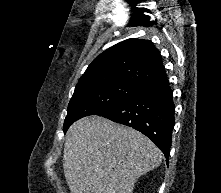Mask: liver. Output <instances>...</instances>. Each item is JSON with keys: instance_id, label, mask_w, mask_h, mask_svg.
<instances>
[{"instance_id": "1", "label": "liver", "mask_w": 221, "mask_h": 193, "mask_svg": "<svg viewBox=\"0 0 221 193\" xmlns=\"http://www.w3.org/2000/svg\"><path fill=\"white\" fill-rule=\"evenodd\" d=\"M63 160L71 193H133L137 179L160 165L162 153L139 131L90 116L68 129Z\"/></svg>"}]
</instances>
